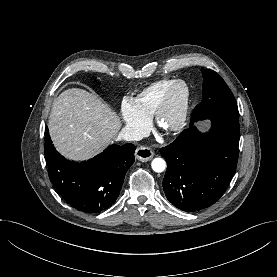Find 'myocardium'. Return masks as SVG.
Listing matches in <instances>:
<instances>
[{"mask_svg":"<svg viewBox=\"0 0 277 277\" xmlns=\"http://www.w3.org/2000/svg\"><path fill=\"white\" fill-rule=\"evenodd\" d=\"M177 89L182 90V96L176 110V116L172 123L166 125L164 116L170 107L172 98ZM190 102V89L183 80H175L165 91L154 114L153 122L160 131L170 134L181 130L187 120Z\"/></svg>","mask_w":277,"mask_h":277,"instance_id":"obj_1","label":"myocardium"}]
</instances>
